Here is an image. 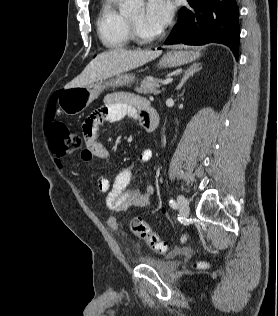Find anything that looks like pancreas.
Wrapping results in <instances>:
<instances>
[{"instance_id":"cf45deb5","label":"pancreas","mask_w":278,"mask_h":316,"mask_svg":"<svg viewBox=\"0 0 278 316\" xmlns=\"http://www.w3.org/2000/svg\"><path fill=\"white\" fill-rule=\"evenodd\" d=\"M160 82V79L148 77L141 82L140 87L135 88V91L143 94H158Z\"/></svg>"}]
</instances>
